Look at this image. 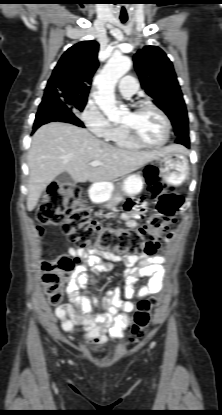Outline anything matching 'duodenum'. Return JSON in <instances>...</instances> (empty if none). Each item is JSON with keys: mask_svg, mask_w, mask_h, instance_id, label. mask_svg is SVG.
<instances>
[{"mask_svg": "<svg viewBox=\"0 0 222 415\" xmlns=\"http://www.w3.org/2000/svg\"><path fill=\"white\" fill-rule=\"evenodd\" d=\"M98 190H97V188L96 187H92L90 190H89V194L91 195V196H94L95 194H96V192H97Z\"/></svg>", "mask_w": 222, "mask_h": 415, "instance_id": "duodenum-1", "label": "duodenum"}]
</instances>
